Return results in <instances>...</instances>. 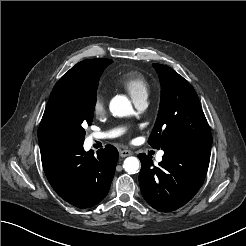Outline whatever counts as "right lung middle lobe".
Instances as JSON below:
<instances>
[{
    "label": "right lung middle lobe",
    "mask_w": 246,
    "mask_h": 246,
    "mask_svg": "<svg viewBox=\"0 0 246 246\" xmlns=\"http://www.w3.org/2000/svg\"><path fill=\"white\" fill-rule=\"evenodd\" d=\"M111 63L110 59L95 60L80 81L55 93L43 127L47 135L85 137L83 125L92 123L99 78Z\"/></svg>",
    "instance_id": "1"
}]
</instances>
